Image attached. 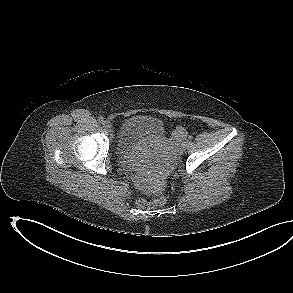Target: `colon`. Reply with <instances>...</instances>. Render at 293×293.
<instances>
[{
	"instance_id": "5ec220e1",
	"label": "colon",
	"mask_w": 293,
	"mask_h": 293,
	"mask_svg": "<svg viewBox=\"0 0 293 293\" xmlns=\"http://www.w3.org/2000/svg\"><path fill=\"white\" fill-rule=\"evenodd\" d=\"M182 129L176 131V135H181ZM166 203V198L163 195H159L153 200L139 199L137 204L140 208H155L163 206Z\"/></svg>"
}]
</instances>
